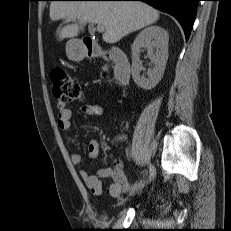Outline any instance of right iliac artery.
<instances>
[{
	"mask_svg": "<svg viewBox=\"0 0 231 231\" xmlns=\"http://www.w3.org/2000/svg\"><path fill=\"white\" fill-rule=\"evenodd\" d=\"M143 181H144V180L138 181V182L134 185V187H135V188H139L140 186L143 185Z\"/></svg>",
	"mask_w": 231,
	"mask_h": 231,
	"instance_id": "obj_1",
	"label": "right iliac artery"
}]
</instances>
